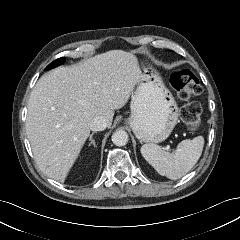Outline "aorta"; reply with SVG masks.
Here are the masks:
<instances>
[{"label": "aorta", "mask_w": 240, "mask_h": 240, "mask_svg": "<svg viewBox=\"0 0 240 240\" xmlns=\"http://www.w3.org/2000/svg\"><path fill=\"white\" fill-rule=\"evenodd\" d=\"M128 133L124 130H116L112 134V142L116 146H125L128 143Z\"/></svg>", "instance_id": "1"}]
</instances>
